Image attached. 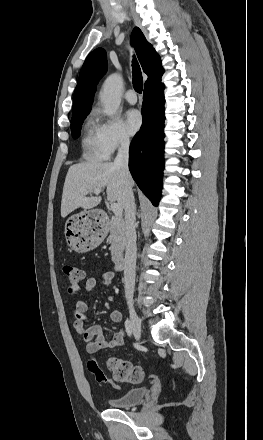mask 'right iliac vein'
Masks as SVG:
<instances>
[{"mask_svg": "<svg viewBox=\"0 0 263 440\" xmlns=\"http://www.w3.org/2000/svg\"><path fill=\"white\" fill-rule=\"evenodd\" d=\"M129 312L134 337L139 340L141 337V321L131 302H129Z\"/></svg>", "mask_w": 263, "mask_h": 440, "instance_id": "63e3f726", "label": "right iliac vein"}]
</instances>
